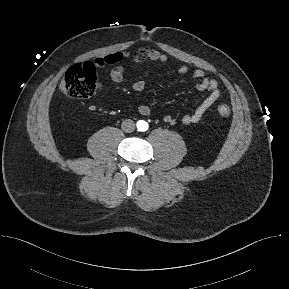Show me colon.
Here are the masks:
<instances>
[{
	"label": "colon",
	"instance_id": "colon-1",
	"mask_svg": "<svg viewBox=\"0 0 289 289\" xmlns=\"http://www.w3.org/2000/svg\"><path fill=\"white\" fill-rule=\"evenodd\" d=\"M101 84L96 74V66L91 62L71 67L60 83L62 93L70 98L85 99L96 94ZM217 112L222 117H229L231 109L227 104H220Z\"/></svg>",
	"mask_w": 289,
	"mask_h": 289
}]
</instances>
